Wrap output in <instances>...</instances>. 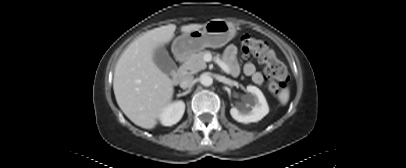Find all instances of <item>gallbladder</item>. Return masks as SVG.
Segmentation results:
<instances>
[{
	"mask_svg": "<svg viewBox=\"0 0 406 168\" xmlns=\"http://www.w3.org/2000/svg\"><path fill=\"white\" fill-rule=\"evenodd\" d=\"M153 59L159 69L166 74H171L176 68L175 62L170 57L164 45H160L156 48Z\"/></svg>",
	"mask_w": 406,
	"mask_h": 168,
	"instance_id": "gallbladder-1",
	"label": "gallbladder"
}]
</instances>
